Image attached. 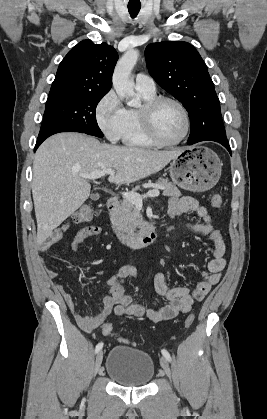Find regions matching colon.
Returning a JSON list of instances; mask_svg holds the SVG:
<instances>
[{
    "label": "colon",
    "mask_w": 267,
    "mask_h": 419,
    "mask_svg": "<svg viewBox=\"0 0 267 419\" xmlns=\"http://www.w3.org/2000/svg\"><path fill=\"white\" fill-rule=\"evenodd\" d=\"M210 203L214 208H220L223 204L222 197L218 194L213 195L210 199ZM96 215V210L91 206H83L76 210L70 217V222L75 224H84L91 221ZM194 314H189L185 320V327H190L194 322ZM113 333V325L111 323H105L102 326V334L111 335ZM123 343H127L124 339H119Z\"/></svg>",
    "instance_id": "colon-1"
}]
</instances>
